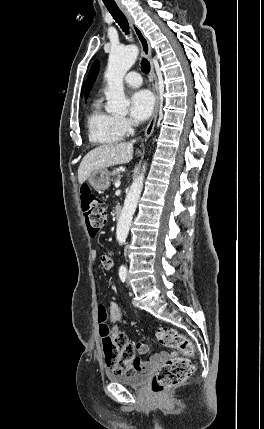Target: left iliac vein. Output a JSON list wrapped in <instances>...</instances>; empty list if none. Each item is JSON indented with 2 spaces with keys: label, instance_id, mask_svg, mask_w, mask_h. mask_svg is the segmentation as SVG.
Masks as SVG:
<instances>
[{
  "label": "left iliac vein",
  "instance_id": "4c4485c4",
  "mask_svg": "<svg viewBox=\"0 0 264 429\" xmlns=\"http://www.w3.org/2000/svg\"><path fill=\"white\" fill-rule=\"evenodd\" d=\"M126 284H127V287L131 288L129 275L127 276Z\"/></svg>",
  "mask_w": 264,
  "mask_h": 429
}]
</instances>
